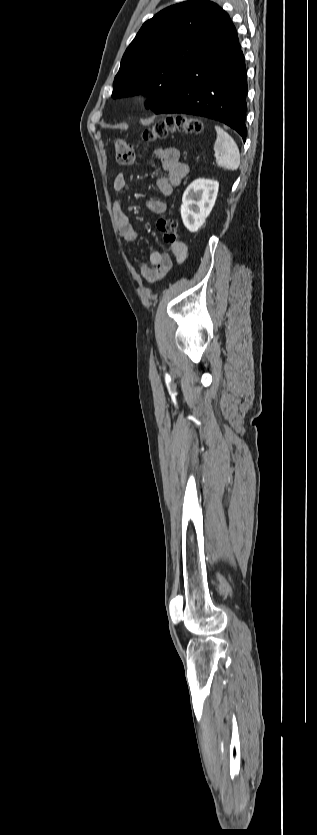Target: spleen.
<instances>
[{"label":"spleen","mask_w":317,"mask_h":835,"mask_svg":"<svg viewBox=\"0 0 317 835\" xmlns=\"http://www.w3.org/2000/svg\"><path fill=\"white\" fill-rule=\"evenodd\" d=\"M217 138L214 152L217 156L216 164L226 170H236L240 165V153L233 138L221 127L215 126Z\"/></svg>","instance_id":"3e777b00"}]
</instances>
